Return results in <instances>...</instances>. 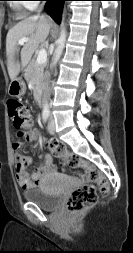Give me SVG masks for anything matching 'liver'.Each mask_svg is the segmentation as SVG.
Segmentation results:
<instances>
[{"mask_svg":"<svg viewBox=\"0 0 133 253\" xmlns=\"http://www.w3.org/2000/svg\"><path fill=\"white\" fill-rule=\"evenodd\" d=\"M52 26L51 20L45 16H31L12 27L6 37V55L8 62V74L13 81L17 75L27 66L34 51L43 43L49 35ZM29 41L23 44L21 49V64L15 60L18 41L21 38Z\"/></svg>","mask_w":133,"mask_h":253,"instance_id":"6515ba94","label":"liver"}]
</instances>
